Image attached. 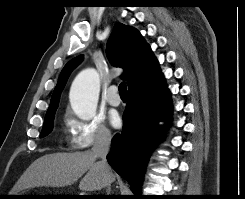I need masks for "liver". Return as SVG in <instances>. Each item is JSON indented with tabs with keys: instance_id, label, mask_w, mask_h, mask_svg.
<instances>
[{
	"instance_id": "1",
	"label": "liver",
	"mask_w": 245,
	"mask_h": 199,
	"mask_svg": "<svg viewBox=\"0 0 245 199\" xmlns=\"http://www.w3.org/2000/svg\"><path fill=\"white\" fill-rule=\"evenodd\" d=\"M82 176L79 183L80 190L95 191L107 186L101 168L91 150L46 154L29 166L18 181L15 190L18 192L39 186H69ZM114 180L115 175L110 170L109 185Z\"/></svg>"
}]
</instances>
